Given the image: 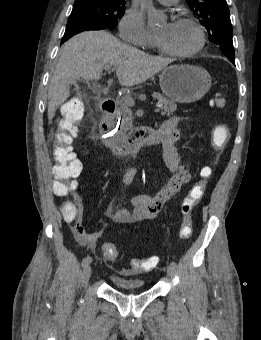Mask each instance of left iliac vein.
<instances>
[{
    "mask_svg": "<svg viewBox=\"0 0 261 340\" xmlns=\"http://www.w3.org/2000/svg\"><path fill=\"white\" fill-rule=\"evenodd\" d=\"M166 272L173 277L176 274V268L169 265L166 268Z\"/></svg>",
    "mask_w": 261,
    "mask_h": 340,
    "instance_id": "left-iliac-vein-1",
    "label": "left iliac vein"
}]
</instances>
